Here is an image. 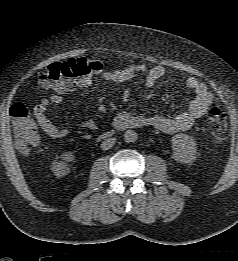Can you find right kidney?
<instances>
[{
	"mask_svg": "<svg viewBox=\"0 0 238 261\" xmlns=\"http://www.w3.org/2000/svg\"><path fill=\"white\" fill-rule=\"evenodd\" d=\"M75 159V156L73 155L72 152H65L62 155V160L60 162H56L53 166V171L54 174L57 177H64L69 173V167H68V162H72Z\"/></svg>",
	"mask_w": 238,
	"mask_h": 261,
	"instance_id": "ca27d5eb",
	"label": "right kidney"
}]
</instances>
